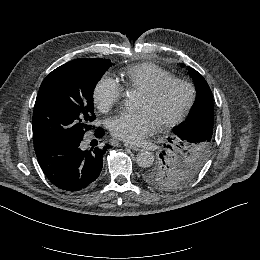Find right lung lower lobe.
Listing matches in <instances>:
<instances>
[{
    "label": "right lung lower lobe",
    "mask_w": 260,
    "mask_h": 260,
    "mask_svg": "<svg viewBox=\"0 0 260 260\" xmlns=\"http://www.w3.org/2000/svg\"><path fill=\"white\" fill-rule=\"evenodd\" d=\"M104 134L103 129L95 131L96 137ZM82 139H66L35 148L38 162L46 177L59 189L78 192L92 185L99 177L103 156L109 145L82 150Z\"/></svg>",
    "instance_id": "obj_1"
}]
</instances>
